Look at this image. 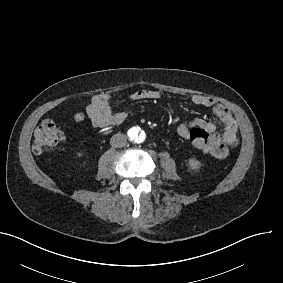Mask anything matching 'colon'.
<instances>
[{
  "mask_svg": "<svg viewBox=\"0 0 283 283\" xmlns=\"http://www.w3.org/2000/svg\"><path fill=\"white\" fill-rule=\"evenodd\" d=\"M84 117L83 112L76 114L78 120ZM190 138L194 146L201 152L208 153L213 144V134L203 127H194L190 130ZM64 135L57 123L52 119L43 120L36 128L33 138V150L36 153H44L53 150Z\"/></svg>",
  "mask_w": 283,
  "mask_h": 283,
  "instance_id": "colon-1",
  "label": "colon"
}]
</instances>
